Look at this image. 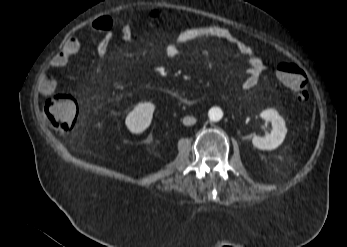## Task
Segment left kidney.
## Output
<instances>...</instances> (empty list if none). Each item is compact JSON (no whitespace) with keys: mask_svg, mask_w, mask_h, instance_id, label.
I'll use <instances>...</instances> for the list:
<instances>
[{"mask_svg":"<svg viewBox=\"0 0 347 247\" xmlns=\"http://www.w3.org/2000/svg\"><path fill=\"white\" fill-rule=\"evenodd\" d=\"M260 116L262 119L272 123V130L265 137L254 135L252 143L261 150H274L283 142L287 134L285 121L274 109L264 110Z\"/></svg>","mask_w":347,"mask_h":247,"instance_id":"5707ae66","label":"left kidney"}]
</instances>
